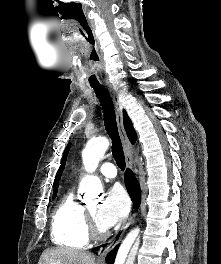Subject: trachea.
Here are the masks:
<instances>
[{"label": "trachea", "instance_id": "1", "mask_svg": "<svg viewBox=\"0 0 221 264\" xmlns=\"http://www.w3.org/2000/svg\"><path fill=\"white\" fill-rule=\"evenodd\" d=\"M91 87L94 89L96 97L99 99L103 109L105 128L107 134L112 140V147H111L112 155L118 167L123 171L125 169V156L118 133L115 111L112 100L109 94L105 91V89L101 85H92Z\"/></svg>", "mask_w": 221, "mask_h": 264}]
</instances>
